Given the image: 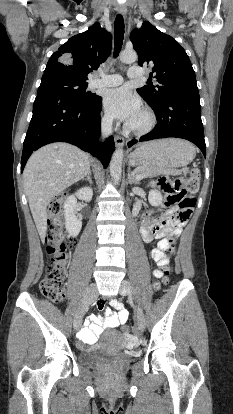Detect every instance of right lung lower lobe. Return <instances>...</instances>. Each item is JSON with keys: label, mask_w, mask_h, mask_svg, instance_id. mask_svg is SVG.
<instances>
[{"label": "right lung lower lobe", "mask_w": 233, "mask_h": 414, "mask_svg": "<svg viewBox=\"0 0 233 414\" xmlns=\"http://www.w3.org/2000/svg\"><path fill=\"white\" fill-rule=\"evenodd\" d=\"M102 98L89 103H76L54 95H37L33 116L24 140L21 172L38 148L52 142H68L90 152L108 166L113 153L114 139L98 142Z\"/></svg>", "instance_id": "98d812e1"}]
</instances>
